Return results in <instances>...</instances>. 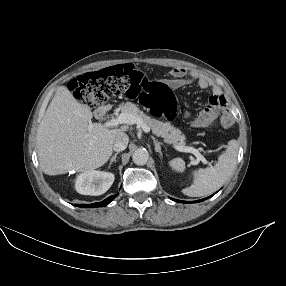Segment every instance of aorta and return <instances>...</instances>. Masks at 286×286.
Instances as JSON below:
<instances>
[{"label":"aorta","instance_id":"obj_1","mask_svg":"<svg viewBox=\"0 0 286 286\" xmlns=\"http://www.w3.org/2000/svg\"><path fill=\"white\" fill-rule=\"evenodd\" d=\"M149 153L145 148H139L134 151L132 159L137 165H145L148 161Z\"/></svg>","mask_w":286,"mask_h":286}]
</instances>
